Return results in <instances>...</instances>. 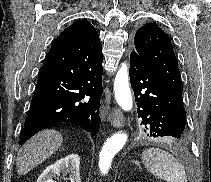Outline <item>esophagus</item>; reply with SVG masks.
<instances>
[{
    "instance_id": "34e87169",
    "label": "esophagus",
    "mask_w": 211,
    "mask_h": 182,
    "mask_svg": "<svg viewBox=\"0 0 211 182\" xmlns=\"http://www.w3.org/2000/svg\"><path fill=\"white\" fill-rule=\"evenodd\" d=\"M121 113L117 110L115 111L114 115L112 118H109L111 120V122L113 123V125H117L118 124V116H120Z\"/></svg>"
}]
</instances>
